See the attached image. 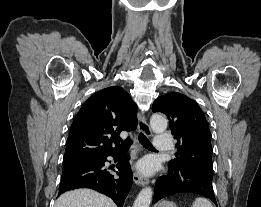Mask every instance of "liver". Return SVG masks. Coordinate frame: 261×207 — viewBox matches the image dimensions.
<instances>
[{"mask_svg":"<svg viewBox=\"0 0 261 207\" xmlns=\"http://www.w3.org/2000/svg\"><path fill=\"white\" fill-rule=\"evenodd\" d=\"M55 207H117L107 196L90 189L65 192L55 202Z\"/></svg>","mask_w":261,"mask_h":207,"instance_id":"1","label":"liver"}]
</instances>
